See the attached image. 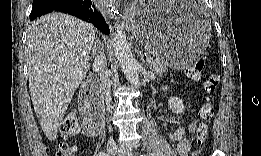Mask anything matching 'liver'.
Listing matches in <instances>:
<instances>
[{
	"mask_svg": "<svg viewBox=\"0 0 261 156\" xmlns=\"http://www.w3.org/2000/svg\"><path fill=\"white\" fill-rule=\"evenodd\" d=\"M95 36L92 24L57 12L40 17L28 28L29 90L49 141L56 139L74 92L90 67Z\"/></svg>",
	"mask_w": 261,
	"mask_h": 156,
	"instance_id": "liver-1",
	"label": "liver"
}]
</instances>
